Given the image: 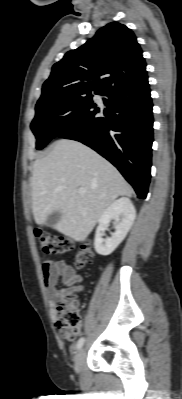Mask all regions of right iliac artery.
Segmentation results:
<instances>
[{"label": "right iliac artery", "mask_w": 182, "mask_h": 399, "mask_svg": "<svg viewBox=\"0 0 182 399\" xmlns=\"http://www.w3.org/2000/svg\"><path fill=\"white\" fill-rule=\"evenodd\" d=\"M84 341H85L84 337H81V338L78 340L77 344H76V348H77V349H80V348L83 346Z\"/></svg>", "instance_id": "1"}]
</instances>
